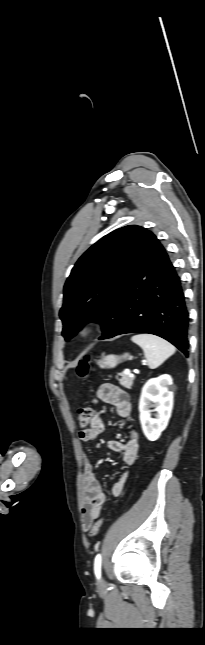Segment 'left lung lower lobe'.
Segmentation results:
<instances>
[{
  "instance_id": "obj_1",
  "label": "left lung lower lobe",
  "mask_w": 205,
  "mask_h": 645,
  "mask_svg": "<svg viewBox=\"0 0 205 645\" xmlns=\"http://www.w3.org/2000/svg\"><path fill=\"white\" fill-rule=\"evenodd\" d=\"M188 323L180 279L164 247L148 231L124 288L118 327L108 338L126 333L154 334L188 356Z\"/></svg>"
}]
</instances>
